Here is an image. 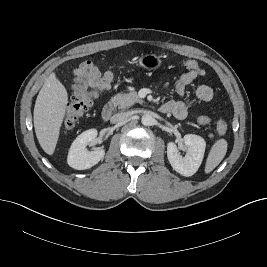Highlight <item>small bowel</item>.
<instances>
[{
    "instance_id": "c3829d8e",
    "label": "small bowel",
    "mask_w": 267,
    "mask_h": 267,
    "mask_svg": "<svg viewBox=\"0 0 267 267\" xmlns=\"http://www.w3.org/2000/svg\"><path fill=\"white\" fill-rule=\"evenodd\" d=\"M199 75L197 71L189 70L181 75L175 84V90L178 96H183L186 87L192 83ZM101 77L99 69L93 62L87 60L82 62L73 73V89L77 87H88L96 83ZM196 97L202 102H208L213 98V89L205 84L199 85L195 91ZM167 108V113L173 114L178 119L187 117L190 106L181 100H171L164 104ZM198 121L201 124H208L210 119L207 116H200Z\"/></svg>"
}]
</instances>
